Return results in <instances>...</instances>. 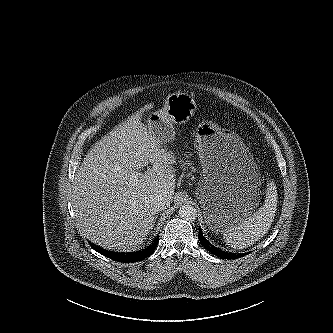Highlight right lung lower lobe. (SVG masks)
I'll return each mask as SVG.
<instances>
[{
    "label": "right lung lower lobe",
    "instance_id": "1",
    "mask_svg": "<svg viewBox=\"0 0 333 333\" xmlns=\"http://www.w3.org/2000/svg\"><path fill=\"white\" fill-rule=\"evenodd\" d=\"M158 241H159V238L157 236L153 240V242L146 248H144L140 251L128 252V253H125V252L118 253V252L108 251V250L100 248L99 246H96L95 244H92V243L90 245L95 251H97L98 253H100L114 261L123 262V263H129V262L133 263V262L140 261L146 257H149L156 249Z\"/></svg>",
    "mask_w": 333,
    "mask_h": 333
}]
</instances>
